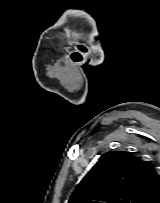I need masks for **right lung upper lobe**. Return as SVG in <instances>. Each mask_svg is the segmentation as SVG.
Returning <instances> with one entry per match:
<instances>
[{
  "label": "right lung upper lobe",
  "mask_w": 160,
  "mask_h": 203,
  "mask_svg": "<svg viewBox=\"0 0 160 203\" xmlns=\"http://www.w3.org/2000/svg\"><path fill=\"white\" fill-rule=\"evenodd\" d=\"M160 196V175L130 153L110 151L82 179L68 203H150Z\"/></svg>",
  "instance_id": "1"
}]
</instances>
